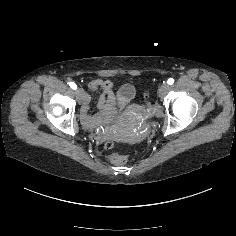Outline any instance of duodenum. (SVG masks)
Returning <instances> with one entry per match:
<instances>
[{
  "label": "duodenum",
  "mask_w": 236,
  "mask_h": 236,
  "mask_svg": "<svg viewBox=\"0 0 236 236\" xmlns=\"http://www.w3.org/2000/svg\"><path fill=\"white\" fill-rule=\"evenodd\" d=\"M115 99L111 91H104V94L99 100V107L102 112L95 116H90L88 114L89 110V97L86 96L84 99L83 112H82V122L88 128H94L101 123H103L107 116L111 114L114 110Z\"/></svg>",
  "instance_id": "1"
}]
</instances>
